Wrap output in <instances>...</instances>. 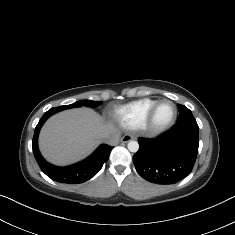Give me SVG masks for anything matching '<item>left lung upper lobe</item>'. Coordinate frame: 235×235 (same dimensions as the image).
<instances>
[{"label": "left lung upper lobe", "instance_id": "1", "mask_svg": "<svg viewBox=\"0 0 235 235\" xmlns=\"http://www.w3.org/2000/svg\"><path fill=\"white\" fill-rule=\"evenodd\" d=\"M179 117L177 124H188L198 126L192 112L184 105L178 104Z\"/></svg>", "mask_w": 235, "mask_h": 235}]
</instances>
